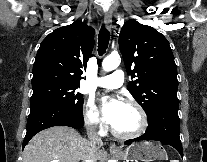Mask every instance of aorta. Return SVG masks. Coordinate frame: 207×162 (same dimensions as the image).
I'll return each instance as SVG.
<instances>
[{
  "mask_svg": "<svg viewBox=\"0 0 207 162\" xmlns=\"http://www.w3.org/2000/svg\"><path fill=\"white\" fill-rule=\"evenodd\" d=\"M121 59L118 54H110L104 58L102 68L104 71L109 72L116 69L120 65Z\"/></svg>",
  "mask_w": 207,
  "mask_h": 162,
  "instance_id": "obj_1",
  "label": "aorta"
}]
</instances>
